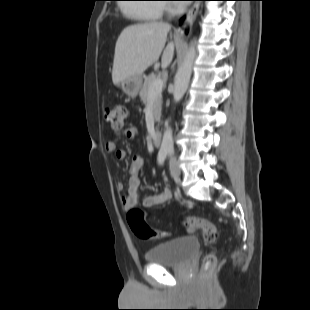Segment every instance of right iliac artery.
Returning a JSON list of instances; mask_svg holds the SVG:
<instances>
[{"label":"right iliac artery","instance_id":"1","mask_svg":"<svg viewBox=\"0 0 310 310\" xmlns=\"http://www.w3.org/2000/svg\"><path fill=\"white\" fill-rule=\"evenodd\" d=\"M168 154V150L167 149H160L159 153H158V163L160 165H162L164 163V160L166 159V156Z\"/></svg>","mask_w":310,"mask_h":310}]
</instances>
